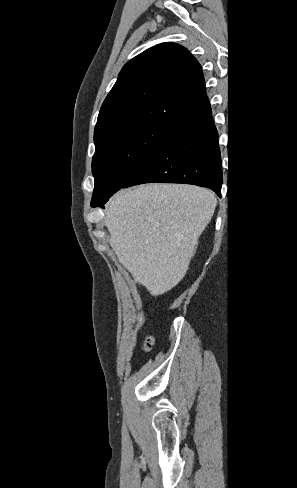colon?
Returning a JSON list of instances; mask_svg holds the SVG:
<instances>
[{
    "label": "colon",
    "mask_w": 297,
    "mask_h": 488,
    "mask_svg": "<svg viewBox=\"0 0 297 488\" xmlns=\"http://www.w3.org/2000/svg\"><path fill=\"white\" fill-rule=\"evenodd\" d=\"M153 338L151 336L147 337L144 343V348L150 350L153 346Z\"/></svg>",
    "instance_id": "1"
}]
</instances>
